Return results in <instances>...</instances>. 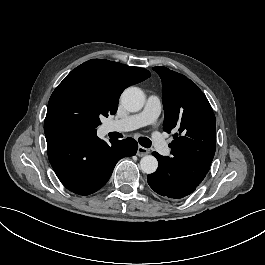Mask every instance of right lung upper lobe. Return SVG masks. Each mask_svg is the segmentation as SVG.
Here are the masks:
<instances>
[{
	"mask_svg": "<svg viewBox=\"0 0 265 265\" xmlns=\"http://www.w3.org/2000/svg\"><path fill=\"white\" fill-rule=\"evenodd\" d=\"M83 69L97 73L103 80L111 97L116 101H118L125 88L150 77V72L146 69L130 67L103 59H92L75 68V70Z\"/></svg>",
	"mask_w": 265,
	"mask_h": 265,
	"instance_id": "cb5924a9",
	"label": "right lung upper lobe"
}]
</instances>
